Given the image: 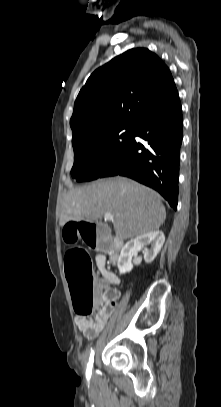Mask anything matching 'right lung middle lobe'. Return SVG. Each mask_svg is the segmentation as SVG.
Returning <instances> with one entry per match:
<instances>
[{
	"label": "right lung middle lobe",
	"instance_id": "right-lung-middle-lobe-1",
	"mask_svg": "<svg viewBox=\"0 0 221 407\" xmlns=\"http://www.w3.org/2000/svg\"><path fill=\"white\" fill-rule=\"evenodd\" d=\"M133 133L134 124H126L96 132L73 143L72 177L78 182L101 177L127 148Z\"/></svg>",
	"mask_w": 221,
	"mask_h": 407
}]
</instances>
